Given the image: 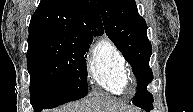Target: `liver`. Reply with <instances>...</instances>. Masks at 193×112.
<instances>
[{"label":"liver","instance_id":"1","mask_svg":"<svg viewBox=\"0 0 193 112\" xmlns=\"http://www.w3.org/2000/svg\"><path fill=\"white\" fill-rule=\"evenodd\" d=\"M128 108L104 97H93L81 102L68 104L56 112H127Z\"/></svg>","mask_w":193,"mask_h":112}]
</instances>
